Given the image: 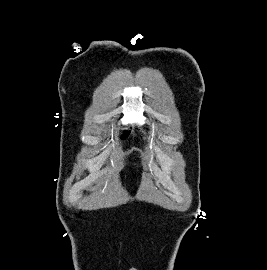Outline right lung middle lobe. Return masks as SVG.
<instances>
[{
	"instance_id": "obj_1",
	"label": "right lung middle lobe",
	"mask_w": 267,
	"mask_h": 270,
	"mask_svg": "<svg viewBox=\"0 0 267 270\" xmlns=\"http://www.w3.org/2000/svg\"><path fill=\"white\" fill-rule=\"evenodd\" d=\"M129 135V132H125L121 137L125 139Z\"/></svg>"
}]
</instances>
